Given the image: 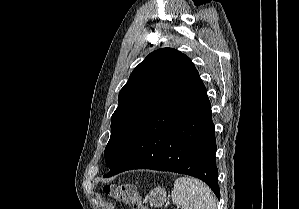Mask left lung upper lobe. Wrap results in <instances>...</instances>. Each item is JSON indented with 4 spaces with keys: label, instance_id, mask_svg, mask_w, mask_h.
Masks as SVG:
<instances>
[{
    "label": "left lung upper lobe",
    "instance_id": "5c2ea615",
    "mask_svg": "<svg viewBox=\"0 0 299 209\" xmlns=\"http://www.w3.org/2000/svg\"><path fill=\"white\" fill-rule=\"evenodd\" d=\"M197 76L191 59L172 48L150 53L133 70L111 118V136L104 151L110 169L149 119Z\"/></svg>",
    "mask_w": 299,
    "mask_h": 209
}]
</instances>
